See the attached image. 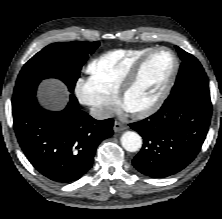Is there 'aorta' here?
I'll return each instance as SVG.
<instances>
[{
  "label": "aorta",
  "instance_id": "obj_1",
  "mask_svg": "<svg viewBox=\"0 0 222 219\" xmlns=\"http://www.w3.org/2000/svg\"><path fill=\"white\" fill-rule=\"evenodd\" d=\"M121 144L125 150L136 152L142 146V139L138 133L134 131H126L121 136Z\"/></svg>",
  "mask_w": 222,
  "mask_h": 219
}]
</instances>
